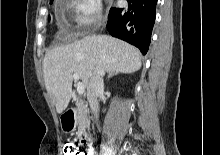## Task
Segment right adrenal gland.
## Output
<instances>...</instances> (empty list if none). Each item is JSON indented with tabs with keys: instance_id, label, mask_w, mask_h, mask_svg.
<instances>
[{
	"instance_id": "1",
	"label": "right adrenal gland",
	"mask_w": 220,
	"mask_h": 155,
	"mask_svg": "<svg viewBox=\"0 0 220 155\" xmlns=\"http://www.w3.org/2000/svg\"><path fill=\"white\" fill-rule=\"evenodd\" d=\"M118 74L117 72H111L109 73V75L107 76V79L113 77L114 75Z\"/></svg>"
}]
</instances>
